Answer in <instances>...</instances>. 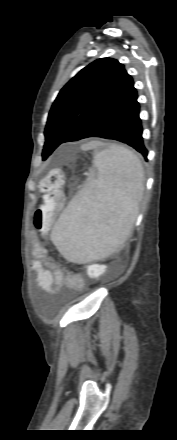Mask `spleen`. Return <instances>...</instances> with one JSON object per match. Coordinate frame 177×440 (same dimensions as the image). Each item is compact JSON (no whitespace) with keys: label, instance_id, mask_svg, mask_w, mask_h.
Segmentation results:
<instances>
[{"label":"spleen","instance_id":"spleen-1","mask_svg":"<svg viewBox=\"0 0 177 440\" xmlns=\"http://www.w3.org/2000/svg\"><path fill=\"white\" fill-rule=\"evenodd\" d=\"M90 177L55 223L51 240L69 261L88 263L116 252L138 213L143 167L129 149L112 145L94 156Z\"/></svg>","mask_w":177,"mask_h":440}]
</instances>
